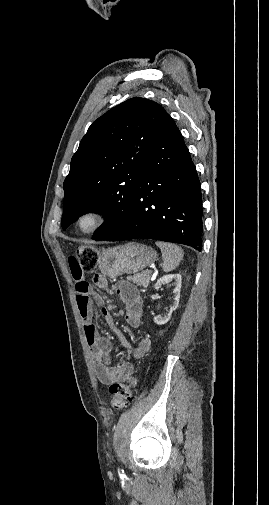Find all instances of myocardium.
<instances>
[{
  "instance_id": "f54148a6",
  "label": "myocardium",
  "mask_w": 269,
  "mask_h": 505,
  "mask_svg": "<svg viewBox=\"0 0 269 505\" xmlns=\"http://www.w3.org/2000/svg\"><path fill=\"white\" fill-rule=\"evenodd\" d=\"M108 209L99 205H92L82 209L74 220L76 230L83 235H90L100 230L109 220ZM90 219L92 222L88 227H83L84 220Z\"/></svg>"
}]
</instances>
